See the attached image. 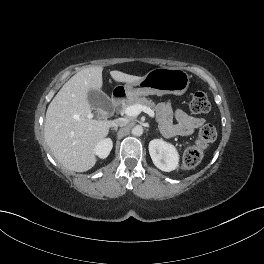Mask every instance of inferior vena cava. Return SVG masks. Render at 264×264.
<instances>
[{"label":"inferior vena cava","mask_w":264,"mask_h":264,"mask_svg":"<svg viewBox=\"0 0 264 264\" xmlns=\"http://www.w3.org/2000/svg\"><path fill=\"white\" fill-rule=\"evenodd\" d=\"M127 124V121L123 118L115 119L111 121V126L112 127H123Z\"/></svg>","instance_id":"inferior-vena-cava-1"}]
</instances>
